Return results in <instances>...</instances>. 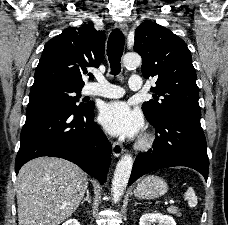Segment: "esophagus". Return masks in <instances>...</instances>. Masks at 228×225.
Here are the masks:
<instances>
[{
    "label": "esophagus",
    "mask_w": 228,
    "mask_h": 225,
    "mask_svg": "<svg viewBox=\"0 0 228 225\" xmlns=\"http://www.w3.org/2000/svg\"><path fill=\"white\" fill-rule=\"evenodd\" d=\"M115 26L124 34H126L128 31V26L125 22H116ZM112 151L114 157H120V155H122V153L124 152V148L121 143L113 142Z\"/></svg>",
    "instance_id": "esophagus-1"
}]
</instances>
